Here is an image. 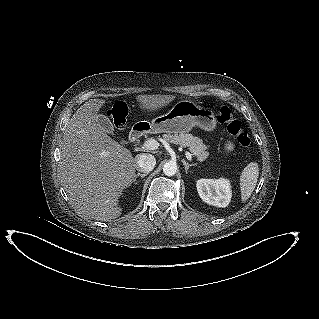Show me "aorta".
Masks as SVG:
<instances>
[{
	"label": "aorta",
	"mask_w": 319,
	"mask_h": 319,
	"mask_svg": "<svg viewBox=\"0 0 319 319\" xmlns=\"http://www.w3.org/2000/svg\"><path fill=\"white\" fill-rule=\"evenodd\" d=\"M163 172L167 176H173L177 173V165L174 162H167L163 166Z\"/></svg>",
	"instance_id": "aorta-1"
}]
</instances>
